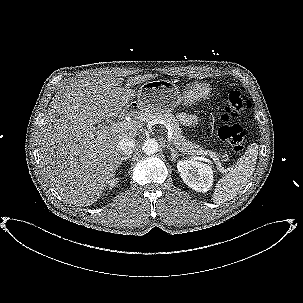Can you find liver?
<instances>
[{
	"mask_svg": "<svg viewBox=\"0 0 303 303\" xmlns=\"http://www.w3.org/2000/svg\"><path fill=\"white\" fill-rule=\"evenodd\" d=\"M153 77H129L122 89V78L95 73L55 94L40 127L39 153L50 185L66 202L89 206L113 179L121 159L119 141L134 138L138 126L103 131L95 125L116 117L138 96L130 88Z\"/></svg>",
	"mask_w": 303,
	"mask_h": 303,
	"instance_id": "1",
	"label": "liver"
}]
</instances>
